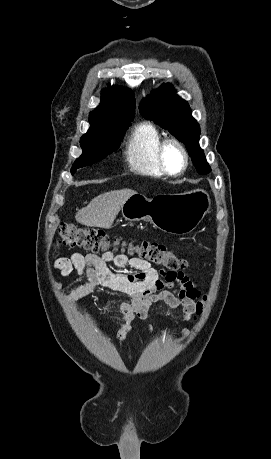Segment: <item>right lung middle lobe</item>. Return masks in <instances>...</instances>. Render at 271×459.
<instances>
[{
	"label": "right lung middle lobe",
	"instance_id": "1",
	"mask_svg": "<svg viewBox=\"0 0 271 459\" xmlns=\"http://www.w3.org/2000/svg\"><path fill=\"white\" fill-rule=\"evenodd\" d=\"M131 120H104L90 123L86 134L81 137L83 154L74 162L71 173L91 165L117 150Z\"/></svg>",
	"mask_w": 271,
	"mask_h": 459
}]
</instances>
